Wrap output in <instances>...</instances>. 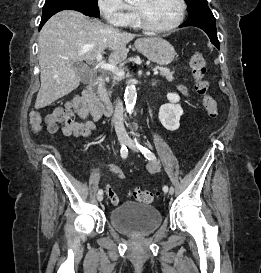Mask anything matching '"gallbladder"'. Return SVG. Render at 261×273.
Wrapping results in <instances>:
<instances>
[{
  "label": "gallbladder",
  "instance_id": "bac80fb5",
  "mask_svg": "<svg viewBox=\"0 0 261 273\" xmlns=\"http://www.w3.org/2000/svg\"><path fill=\"white\" fill-rule=\"evenodd\" d=\"M74 69L76 70V72H77L78 76L80 77L82 83L87 84L92 80V76H93L92 74L93 73L88 68L83 67L80 64H75Z\"/></svg>",
  "mask_w": 261,
  "mask_h": 273
}]
</instances>
